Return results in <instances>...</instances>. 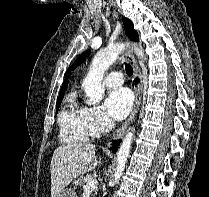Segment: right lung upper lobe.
Masks as SVG:
<instances>
[{
    "label": "right lung upper lobe",
    "instance_id": "obj_1",
    "mask_svg": "<svg viewBox=\"0 0 209 197\" xmlns=\"http://www.w3.org/2000/svg\"><path fill=\"white\" fill-rule=\"evenodd\" d=\"M68 85V78L65 79V81L63 82L62 84V87H61V90H60V93H59V97H58V100L59 99H62L64 97V92L66 90V86Z\"/></svg>",
    "mask_w": 209,
    "mask_h": 197
}]
</instances>
